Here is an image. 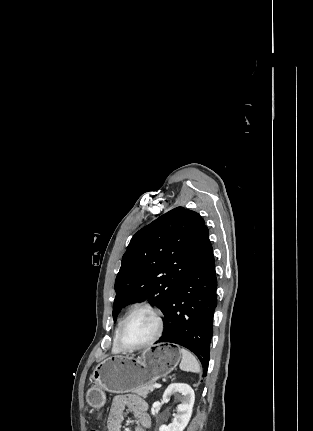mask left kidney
I'll list each match as a JSON object with an SVG mask.
<instances>
[{
	"label": "left kidney",
	"mask_w": 313,
	"mask_h": 431,
	"mask_svg": "<svg viewBox=\"0 0 313 431\" xmlns=\"http://www.w3.org/2000/svg\"><path fill=\"white\" fill-rule=\"evenodd\" d=\"M173 394L181 398V404L176 409L173 422L160 426L159 431H183L190 421L195 400L193 389L185 383L170 384L163 394V401L169 402Z\"/></svg>",
	"instance_id": "1"
}]
</instances>
